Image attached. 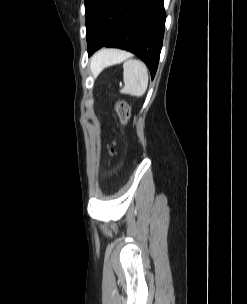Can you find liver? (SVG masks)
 Here are the masks:
<instances>
[{
  "instance_id": "1",
  "label": "liver",
  "mask_w": 247,
  "mask_h": 304,
  "mask_svg": "<svg viewBox=\"0 0 247 304\" xmlns=\"http://www.w3.org/2000/svg\"><path fill=\"white\" fill-rule=\"evenodd\" d=\"M122 51H116V50H103L101 51L92 61V71H97L101 69L103 66L105 60L107 59L108 56L110 55H116ZM125 53V52H124Z\"/></svg>"
}]
</instances>
